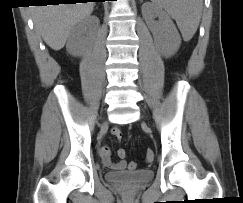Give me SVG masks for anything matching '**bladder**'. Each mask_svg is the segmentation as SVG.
I'll return each instance as SVG.
<instances>
[{
  "mask_svg": "<svg viewBox=\"0 0 243 203\" xmlns=\"http://www.w3.org/2000/svg\"><path fill=\"white\" fill-rule=\"evenodd\" d=\"M154 173L151 169L137 171L107 172L105 178L110 183H144L153 179Z\"/></svg>",
  "mask_w": 243,
  "mask_h": 203,
  "instance_id": "bladder-1",
  "label": "bladder"
}]
</instances>
